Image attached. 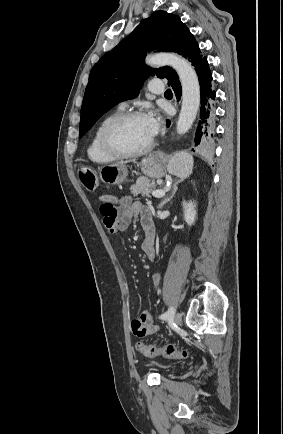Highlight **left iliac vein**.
I'll return each mask as SVG.
<instances>
[{
	"instance_id": "obj_1",
	"label": "left iliac vein",
	"mask_w": 283,
	"mask_h": 434,
	"mask_svg": "<svg viewBox=\"0 0 283 434\" xmlns=\"http://www.w3.org/2000/svg\"><path fill=\"white\" fill-rule=\"evenodd\" d=\"M181 322H182L181 313H176L174 316V323L179 326L181 324Z\"/></svg>"
}]
</instances>
